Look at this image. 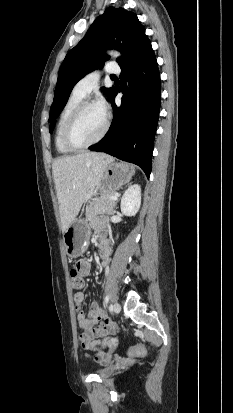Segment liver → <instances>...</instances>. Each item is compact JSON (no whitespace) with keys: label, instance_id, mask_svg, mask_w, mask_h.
Returning a JSON list of instances; mask_svg holds the SVG:
<instances>
[{"label":"liver","instance_id":"liver-1","mask_svg":"<svg viewBox=\"0 0 233 413\" xmlns=\"http://www.w3.org/2000/svg\"><path fill=\"white\" fill-rule=\"evenodd\" d=\"M113 158L97 152L58 157L52 164L61 229L65 232L92 194Z\"/></svg>","mask_w":233,"mask_h":413}]
</instances>
